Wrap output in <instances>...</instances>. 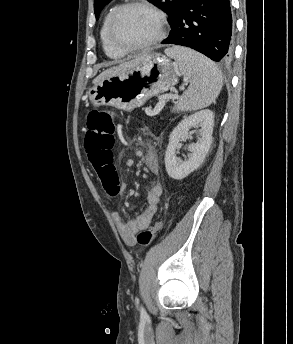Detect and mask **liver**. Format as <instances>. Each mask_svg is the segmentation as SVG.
Listing matches in <instances>:
<instances>
[{"label": "liver", "instance_id": "6515ba94", "mask_svg": "<svg viewBox=\"0 0 293 344\" xmlns=\"http://www.w3.org/2000/svg\"><path fill=\"white\" fill-rule=\"evenodd\" d=\"M146 55H147V53L139 55L130 61L119 63L117 66H113V67H110V68L104 70L99 76H97L93 80V84L95 85L96 83L101 82L104 79H107L111 76L118 75V74L127 72V71L135 68L137 65H139L143 61V59L146 57Z\"/></svg>", "mask_w": 293, "mask_h": 344}]
</instances>
